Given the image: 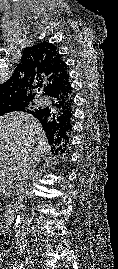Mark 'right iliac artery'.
Here are the masks:
<instances>
[{
  "label": "right iliac artery",
  "mask_w": 118,
  "mask_h": 269,
  "mask_svg": "<svg viewBox=\"0 0 118 269\" xmlns=\"http://www.w3.org/2000/svg\"><path fill=\"white\" fill-rule=\"evenodd\" d=\"M22 267H23V264L21 263V262H15V267H14V269H22Z\"/></svg>",
  "instance_id": "1"
}]
</instances>
